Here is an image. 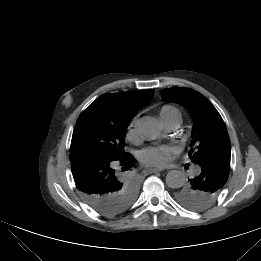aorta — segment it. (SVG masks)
I'll use <instances>...</instances> for the list:
<instances>
[{"instance_id":"aorta-1","label":"aorta","mask_w":261,"mask_h":261,"mask_svg":"<svg viewBox=\"0 0 261 261\" xmlns=\"http://www.w3.org/2000/svg\"><path fill=\"white\" fill-rule=\"evenodd\" d=\"M138 130L142 137L153 140L160 135L162 131V125L156 118L146 116L140 120ZM184 182L185 176L181 171L172 170L169 171L166 175V184L170 188H180L183 186Z\"/></svg>"}]
</instances>
